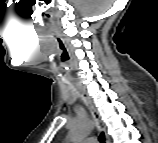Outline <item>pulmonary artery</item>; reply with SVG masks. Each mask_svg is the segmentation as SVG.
Segmentation results:
<instances>
[{
	"mask_svg": "<svg viewBox=\"0 0 158 143\" xmlns=\"http://www.w3.org/2000/svg\"><path fill=\"white\" fill-rule=\"evenodd\" d=\"M87 140H88L89 143L95 142V139H94V138H88Z\"/></svg>",
	"mask_w": 158,
	"mask_h": 143,
	"instance_id": "e3ab8cb5",
	"label": "pulmonary artery"
}]
</instances>
